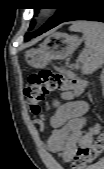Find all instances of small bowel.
Segmentation results:
<instances>
[{
	"mask_svg": "<svg viewBox=\"0 0 104 169\" xmlns=\"http://www.w3.org/2000/svg\"><path fill=\"white\" fill-rule=\"evenodd\" d=\"M64 103H55L50 119L52 131L48 137V147L52 152L61 153L64 161H70L79 147L90 145L98 128L86 129L88 105L76 100L72 92H64Z\"/></svg>",
	"mask_w": 104,
	"mask_h": 169,
	"instance_id": "1",
	"label": "small bowel"
}]
</instances>
